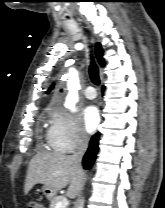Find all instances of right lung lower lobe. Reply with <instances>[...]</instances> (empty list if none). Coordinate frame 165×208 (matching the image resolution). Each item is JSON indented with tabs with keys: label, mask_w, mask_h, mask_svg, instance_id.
<instances>
[{
	"label": "right lung lower lobe",
	"mask_w": 165,
	"mask_h": 208,
	"mask_svg": "<svg viewBox=\"0 0 165 208\" xmlns=\"http://www.w3.org/2000/svg\"><path fill=\"white\" fill-rule=\"evenodd\" d=\"M98 142L99 136L98 134H96L91 138L88 151L83 158V166L85 169H89L95 160L96 154L98 152Z\"/></svg>",
	"instance_id": "1"
}]
</instances>
